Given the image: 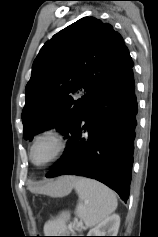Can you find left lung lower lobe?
I'll return each mask as SVG.
<instances>
[{
  "mask_svg": "<svg viewBox=\"0 0 158 237\" xmlns=\"http://www.w3.org/2000/svg\"><path fill=\"white\" fill-rule=\"evenodd\" d=\"M132 68L102 89L82 112L67 147L46 177L96 179L127 201L132 176L136 114Z\"/></svg>",
  "mask_w": 158,
  "mask_h": 237,
  "instance_id": "left-lung-lower-lobe-1",
  "label": "left lung lower lobe"
}]
</instances>
